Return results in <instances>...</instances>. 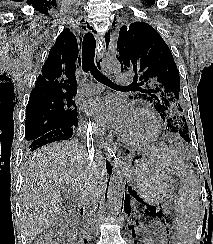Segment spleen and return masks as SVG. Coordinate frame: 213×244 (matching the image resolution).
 <instances>
[{
	"instance_id": "1",
	"label": "spleen",
	"mask_w": 213,
	"mask_h": 244,
	"mask_svg": "<svg viewBox=\"0 0 213 244\" xmlns=\"http://www.w3.org/2000/svg\"><path fill=\"white\" fill-rule=\"evenodd\" d=\"M163 163L167 171L178 175L181 181L174 203L179 239L182 244H194L196 231L202 221L199 181L191 166L176 155H164Z\"/></svg>"
}]
</instances>
